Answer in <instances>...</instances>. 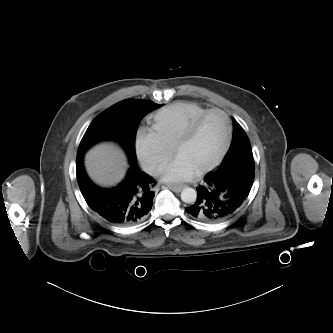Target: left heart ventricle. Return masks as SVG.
<instances>
[{"mask_svg": "<svg viewBox=\"0 0 333 333\" xmlns=\"http://www.w3.org/2000/svg\"><path fill=\"white\" fill-rule=\"evenodd\" d=\"M226 132L227 125L223 116L217 113L211 114L202 121L188 141L176 147L175 152L197 171L218 155Z\"/></svg>", "mask_w": 333, "mask_h": 333, "instance_id": "left-heart-ventricle-1", "label": "left heart ventricle"}]
</instances>
